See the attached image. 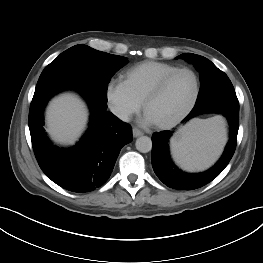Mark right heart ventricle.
<instances>
[{"mask_svg": "<svg viewBox=\"0 0 263 263\" xmlns=\"http://www.w3.org/2000/svg\"><path fill=\"white\" fill-rule=\"evenodd\" d=\"M178 69L172 64L146 61L135 65L123 74V81L132 95L143 103L147 94L168 73Z\"/></svg>", "mask_w": 263, "mask_h": 263, "instance_id": "obj_1", "label": "right heart ventricle"}]
</instances>
